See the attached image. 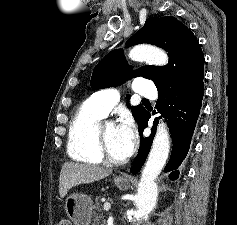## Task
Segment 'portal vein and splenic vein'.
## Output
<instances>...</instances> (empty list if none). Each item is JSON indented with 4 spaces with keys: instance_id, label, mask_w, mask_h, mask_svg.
Masks as SVG:
<instances>
[{
    "instance_id": "obj_1",
    "label": "portal vein and splenic vein",
    "mask_w": 237,
    "mask_h": 225,
    "mask_svg": "<svg viewBox=\"0 0 237 225\" xmlns=\"http://www.w3.org/2000/svg\"><path fill=\"white\" fill-rule=\"evenodd\" d=\"M103 208L105 211H109L111 208V204L109 202H105L103 205Z\"/></svg>"
}]
</instances>
